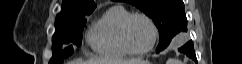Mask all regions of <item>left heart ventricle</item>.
Wrapping results in <instances>:
<instances>
[{
	"instance_id": "left-heart-ventricle-1",
	"label": "left heart ventricle",
	"mask_w": 242,
	"mask_h": 64,
	"mask_svg": "<svg viewBox=\"0 0 242 64\" xmlns=\"http://www.w3.org/2000/svg\"><path fill=\"white\" fill-rule=\"evenodd\" d=\"M128 41L135 50L148 48L153 39L149 23L140 17L132 19L127 30Z\"/></svg>"
}]
</instances>
